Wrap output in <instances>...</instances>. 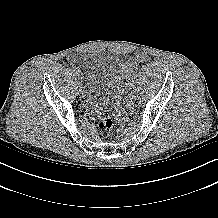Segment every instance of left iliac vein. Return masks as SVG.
Segmentation results:
<instances>
[{"label":"left iliac vein","mask_w":218,"mask_h":218,"mask_svg":"<svg viewBox=\"0 0 218 218\" xmlns=\"http://www.w3.org/2000/svg\"><path fill=\"white\" fill-rule=\"evenodd\" d=\"M128 101H133V96H128Z\"/></svg>","instance_id":"4c4485c4"}]
</instances>
